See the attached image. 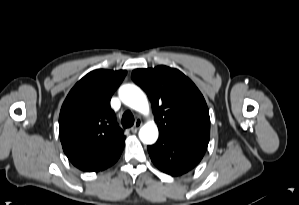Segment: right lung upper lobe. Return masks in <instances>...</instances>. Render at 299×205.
Segmentation results:
<instances>
[{
	"mask_svg": "<svg viewBox=\"0 0 299 205\" xmlns=\"http://www.w3.org/2000/svg\"><path fill=\"white\" fill-rule=\"evenodd\" d=\"M126 73L94 70L72 88L62 105V147L72 164L82 171H102L122 153L125 136L118 127L110 99Z\"/></svg>",
	"mask_w": 299,
	"mask_h": 205,
	"instance_id": "obj_1",
	"label": "right lung upper lobe"
}]
</instances>
